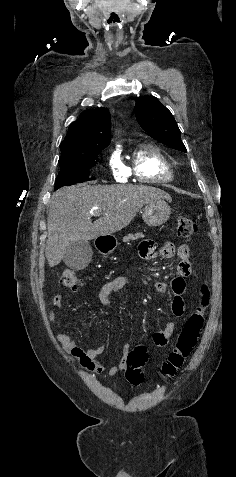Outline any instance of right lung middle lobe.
Here are the masks:
<instances>
[{
	"label": "right lung middle lobe",
	"instance_id": "obj_1",
	"mask_svg": "<svg viewBox=\"0 0 236 477\" xmlns=\"http://www.w3.org/2000/svg\"><path fill=\"white\" fill-rule=\"evenodd\" d=\"M103 149L87 153L80 154L71 159L60 161V172L56 178L55 190L62 186H69L76 183H82L92 180L89 177V168L96 164L98 154Z\"/></svg>",
	"mask_w": 236,
	"mask_h": 477
}]
</instances>
